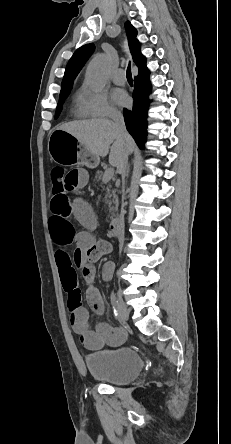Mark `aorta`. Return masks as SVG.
I'll list each match as a JSON object with an SVG mask.
<instances>
[{
    "instance_id": "762f6f07",
    "label": "aorta",
    "mask_w": 231,
    "mask_h": 444,
    "mask_svg": "<svg viewBox=\"0 0 231 444\" xmlns=\"http://www.w3.org/2000/svg\"><path fill=\"white\" fill-rule=\"evenodd\" d=\"M109 63L106 55H99L90 62L86 72V81L92 89L100 90L105 86Z\"/></svg>"
}]
</instances>
